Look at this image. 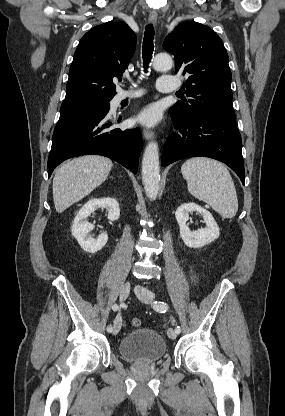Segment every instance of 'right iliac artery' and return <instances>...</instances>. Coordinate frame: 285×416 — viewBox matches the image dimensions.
<instances>
[{"mask_svg": "<svg viewBox=\"0 0 285 416\" xmlns=\"http://www.w3.org/2000/svg\"><path fill=\"white\" fill-rule=\"evenodd\" d=\"M119 309V305L118 304H114L113 306H112V310L113 311H117ZM107 331L108 332H112V326L111 325H108L107 326Z\"/></svg>", "mask_w": 285, "mask_h": 416, "instance_id": "obj_1", "label": "right iliac artery"}]
</instances>
